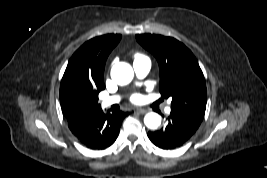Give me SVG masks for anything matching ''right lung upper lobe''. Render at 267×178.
<instances>
[{
    "mask_svg": "<svg viewBox=\"0 0 267 178\" xmlns=\"http://www.w3.org/2000/svg\"><path fill=\"white\" fill-rule=\"evenodd\" d=\"M121 39L119 34H107L85 42L70 58L60 84V102L64 116L84 110L101 108L97 100L78 104L73 94L78 89L98 95L105 88L103 73L106 59Z\"/></svg>",
    "mask_w": 267,
    "mask_h": 178,
    "instance_id": "cb5924a9",
    "label": "right lung upper lobe"
}]
</instances>
